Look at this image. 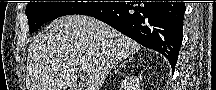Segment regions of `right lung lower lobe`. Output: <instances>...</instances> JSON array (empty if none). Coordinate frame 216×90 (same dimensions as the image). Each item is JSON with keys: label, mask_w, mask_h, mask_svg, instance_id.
I'll use <instances>...</instances> for the list:
<instances>
[{"label": "right lung lower lobe", "mask_w": 216, "mask_h": 90, "mask_svg": "<svg viewBox=\"0 0 216 90\" xmlns=\"http://www.w3.org/2000/svg\"><path fill=\"white\" fill-rule=\"evenodd\" d=\"M184 2H110L82 12L163 54L174 70L183 39Z\"/></svg>", "instance_id": "obj_1"}]
</instances>
